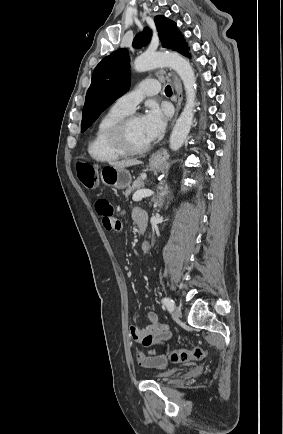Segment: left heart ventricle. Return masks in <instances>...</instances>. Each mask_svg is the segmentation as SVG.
<instances>
[{"instance_id":"left-heart-ventricle-1","label":"left heart ventricle","mask_w":283,"mask_h":434,"mask_svg":"<svg viewBox=\"0 0 283 434\" xmlns=\"http://www.w3.org/2000/svg\"><path fill=\"white\" fill-rule=\"evenodd\" d=\"M129 138L131 143L135 146H143L149 143V141L143 134L140 117L134 119L131 122L129 126Z\"/></svg>"}]
</instances>
